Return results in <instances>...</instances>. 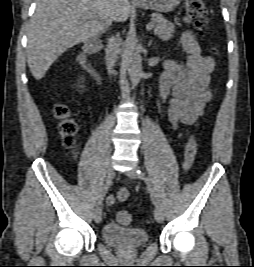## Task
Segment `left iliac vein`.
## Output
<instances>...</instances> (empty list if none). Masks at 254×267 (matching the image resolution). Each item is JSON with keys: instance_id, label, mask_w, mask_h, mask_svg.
Here are the masks:
<instances>
[{"instance_id": "4c4485c4", "label": "left iliac vein", "mask_w": 254, "mask_h": 267, "mask_svg": "<svg viewBox=\"0 0 254 267\" xmlns=\"http://www.w3.org/2000/svg\"><path fill=\"white\" fill-rule=\"evenodd\" d=\"M127 175L131 179H136L137 178V170L136 169H131L127 171ZM154 218L158 223H162L164 221V214L162 212V209L159 206H156L154 209Z\"/></svg>"}]
</instances>
